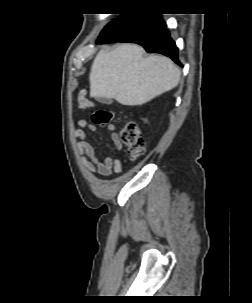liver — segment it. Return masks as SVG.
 <instances>
[{"instance_id": "6515ba94", "label": "liver", "mask_w": 252, "mask_h": 303, "mask_svg": "<svg viewBox=\"0 0 252 303\" xmlns=\"http://www.w3.org/2000/svg\"><path fill=\"white\" fill-rule=\"evenodd\" d=\"M181 71L167 57H144V49L121 44L102 49L95 57L90 75V96L115 99L122 105H142L179 83Z\"/></svg>"}]
</instances>
